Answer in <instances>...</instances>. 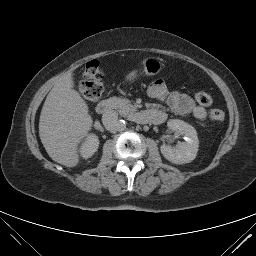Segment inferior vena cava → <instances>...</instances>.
I'll use <instances>...</instances> for the list:
<instances>
[{"label": "inferior vena cava", "instance_id": "1", "mask_svg": "<svg viewBox=\"0 0 256 256\" xmlns=\"http://www.w3.org/2000/svg\"><path fill=\"white\" fill-rule=\"evenodd\" d=\"M102 123L109 131L117 130L119 123L118 113L114 110H109L102 115Z\"/></svg>", "mask_w": 256, "mask_h": 256}]
</instances>
